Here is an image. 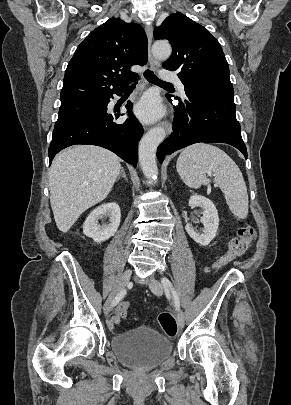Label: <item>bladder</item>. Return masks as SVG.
Wrapping results in <instances>:
<instances>
[{
    "label": "bladder",
    "instance_id": "obj_1",
    "mask_svg": "<svg viewBox=\"0 0 291 405\" xmlns=\"http://www.w3.org/2000/svg\"><path fill=\"white\" fill-rule=\"evenodd\" d=\"M111 349L127 366L152 369L166 361L173 351L171 340L149 326L135 327L115 335Z\"/></svg>",
    "mask_w": 291,
    "mask_h": 405
}]
</instances>
